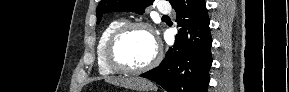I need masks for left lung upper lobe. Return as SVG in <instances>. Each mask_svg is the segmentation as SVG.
I'll list each match as a JSON object with an SVG mask.
<instances>
[{"instance_id": "1", "label": "left lung upper lobe", "mask_w": 289, "mask_h": 92, "mask_svg": "<svg viewBox=\"0 0 289 92\" xmlns=\"http://www.w3.org/2000/svg\"><path fill=\"white\" fill-rule=\"evenodd\" d=\"M154 0H101L97 7V23L103 14L114 11L136 12L142 14L144 9L151 5ZM174 0H169L173 2Z\"/></svg>"}]
</instances>
